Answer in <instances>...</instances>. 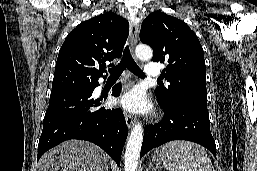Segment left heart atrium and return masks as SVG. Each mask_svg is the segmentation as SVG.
<instances>
[{
	"mask_svg": "<svg viewBox=\"0 0 257 171\" xmlns=\"http://www.w3.org/2000/svg\"><path fill=\"white\" fill-rule=\"evenodd\" d=\"M118 102L124 109L130 112L138 113L149 110L145 94L140 88H133L126 92L120 97Z\"/></svg>",
	"mask_w": 257,
	"mask_h": 171,
	"instance_id": "1",
	"label": "left heart atrium"
}]
</instances>
